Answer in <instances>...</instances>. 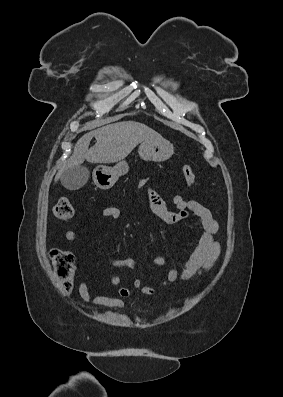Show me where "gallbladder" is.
Returning <instances> with one entry per match:
<instances>
[{
  "instance_id": "1",
  "label": "gallbladder",
  "mask_w": 283,
  "mask_h": 397,
  "mask_svg": "<svg viewBox=\"0 0 283 397\" xmlns=\"http://www.w3.org/2000/svg\"><path fill=\"white\" fill-rule=\"evenodd\" d=\"M89 171L83 166H74L65 170L61 175V183L68 190H78L88 181Z\"/></svg>"
}]
</instances>
